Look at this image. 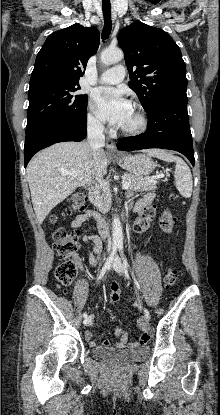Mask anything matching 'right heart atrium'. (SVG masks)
Returning a JSON list of instances; mask_svg holds the SVG:
<instances>
[{
	"label": "right heart atrium",
	"mask_w": 220,
	"mask_h": 415,
	"mask_svg": "<svg viewBox=\"0 0 220 415\" xmlns=\"http://www.w3.org/2000/svg\"><path fill=\"white\" fill-rule=\"evenodd\" d=\"M86 121L88 127L95 132H103L105 129L102 121L94 114L91 101L88 103Z\"/></svg>",
	"instance_id": "d8ad5b80"
}]
</instances>
